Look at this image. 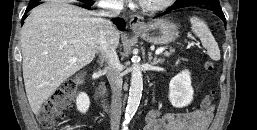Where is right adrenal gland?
<instances>
[{
    "mask_svg": "<svg viewBox=\"0 0 257 130\" xmlns=\"http://www.w3.org/2000/svg\"><path fill=\"white\" fill-rule=\"evenodd\" d=\"M99 64H100L101 66H103V64H104V59H103V58L100 59Z\"/></svg>",
    "mask_w": 257,
    "mask_h": 130,
    "instance_id": "2a0ac1e0",
    "label": "right adrenal gland"
}]
</instances>
